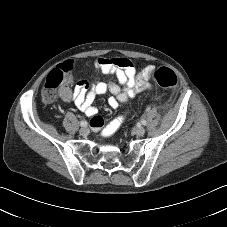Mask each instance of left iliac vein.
<instances>
[{"label": "left iliac vein", "mask_w": 227, "mask_h": 227, "mask_svg": "<svg viewBox=\"0 0 227 227\" xmlns=\"http://www.w3.org/2000/svg\"><path fill=\"white\" fill-rule=\"evenodd\" d=\"M146 130L141 127V126H137L134 128V133L138 136H143L145 134Z\"/></svg>", "instance_id": "1"}]
</instances>
